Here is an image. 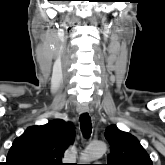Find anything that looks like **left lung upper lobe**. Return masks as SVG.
I'll return each instance as SVG.
<instances>
[{"label":"left lung upper lobe","instance_id":"1","mask_svg":"<svg viewBox=\"0 0 165 165\" xmlns=\"http://www.w3.org/2000/svg\"><path fill=\"white\" fill-rule=\"evenodd\" d=\"M105 138L110 144L106 165H152V161L140 142L133 135L109 126Z\"/></svg>","mask_w":165,"mask_h":165}]
</instances>
